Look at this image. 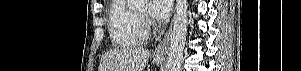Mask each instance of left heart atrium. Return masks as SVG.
Here are the masks:
<instances>
[{
  "label": "left heart atrium",
  "instance_id": "left-heart-atrium-1",
  "mask_svg": "<svg viewBox=\"0 0 301 71\" xmlns=\"http://www.w3.org/2000/svg\"><path fill=\"white\" fill-rule=\"evenodd\" d=\"M149 3V12L157 21L167 18L172 8V0H151Z\"/></svg>",
  "mask_w": 301,
  "mask_h": 71
}]
</instances>
